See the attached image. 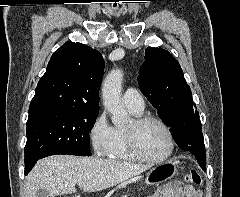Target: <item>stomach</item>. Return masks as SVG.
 Listing matches in <instances>:
<instances>
[{
  "mask_svg": "<svg viewBox=\"0 0 240 197\" xmlns=\"http://www.w3.org/2000/svg\"><path fill=\"white\" fill-rule=\"evenodd\" d=\"M177 171V163L170 162L151 169L145 177V184L148 186L159 184L172 178Z\"/></svg>",
  "mask_w": 240,
  "mask_h": 197,
  "instance_id": "stomach-1",
  "label": "stomach"
}]
</instances>
